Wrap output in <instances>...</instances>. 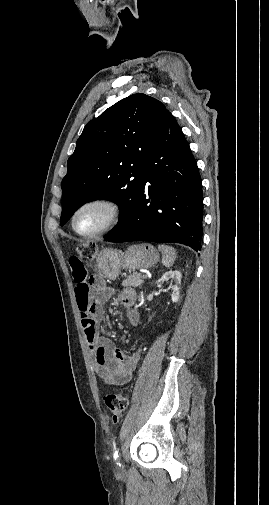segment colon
I'll return each instance as SVG.
<instances>
[{"label":"colon","instance_id":"colon-1","mask_svg":"<svg viewBox=\"0 0 269 505\" xmlns=\"http://www.w3.org/2000/svg\"><path fill=\"white\" fill-rule=\"evenodd\" d=\"M96 253V247L92 244H82L78 246L77 255L70 258L71 259H81L83 262V267L86 269V266L92 261ZM69 260V261H70ZM74 273V271L72 270ZM88 289V288H87ZM106 407L113 419L114 422L120 420V418L125 413L128 407V399L121 392H113L108 394L105 398Z\"/></svg>","mask_w":269,"mask_h":505}]
</instances>
